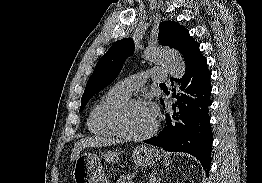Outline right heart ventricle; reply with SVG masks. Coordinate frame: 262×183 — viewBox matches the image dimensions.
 I'll use <instances>...</instances> for the list:
<instances>
[{
    "instance_id": "right-heart-ventricle-1",
    "label": "right heart ventricle",
    "mask_w": 262,
    "mask_h": 183,
    "mask_svg": "<svg viewBox=\"0 0 262 183\" xmlns=\"http://www.w3.org/2000/svg\"><path fill=\"white\" fill-rule=\"evenodd\" d=\"M126 99H128V97L123 96L113 89L105 93L94 104L89 113L87 126L90 132L102 138L120 137L112 127L111 116L116 108Z\"/></svg>"
}]
</instances>
